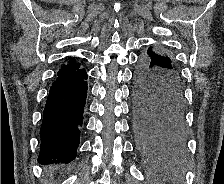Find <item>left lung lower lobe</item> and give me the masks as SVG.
I'll list each match as a JSON object with an SVG mask.
<instances>
[{
	"instance_id": "obj_1",
	"label": "left lung lower lobe",
	"mask_w": 224,
	"mask_h": 184,
	"mask_svg": "<svg viewBox=\"0 0 224 184\" xmlns=\"http://www.w3.org/2000/svg\"><path fill=\"white\" fill-rule=\"evenodd\" d=\"M174 65L149 48L140 56L134 77V131L144 150L182 149L186 141L183 85Z\"/></svg>"
}]
</instances>
